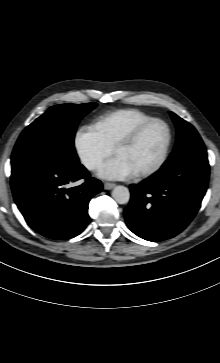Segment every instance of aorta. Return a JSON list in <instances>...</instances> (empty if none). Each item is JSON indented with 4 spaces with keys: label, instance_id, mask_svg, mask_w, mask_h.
I'll return each mask as SVG.
<instances>
[{
    "label": "aorta",
    "instance_id": "obj_1",
    "mask_svg": "<svg viewBox=\"0 0 220 363\" xmlns=\"http://www.w3.org/2000/svg\"><path fill=\"white\" fill-rule=\"evenodd\" d=\"M112 197L118 204H126L130 199L129 189L125 186H116L112 191Z\"/></svg>",
    "mask_w": 220,
    "mask_h": 363
}]
</instances>
